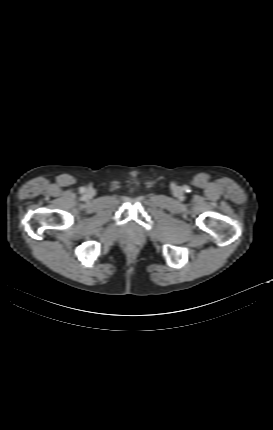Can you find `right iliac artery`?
<instances>
[{
	"mask_svg": "<svg viewBox=\"0 0 273 430\" xmlns=\"http://www.w3.org/2000/svg\"><path fill=\"white\" fill-rule=\"evenodd\" d=\"M84 191H85L84 187L80 188V192H84Z\"/></svg>",
	"mask_w": 273,
	"mask_h": 430,
	"instance_id": "right-iliac-artery-1",
	"label": "right iliac artery"
}]
</instances>
